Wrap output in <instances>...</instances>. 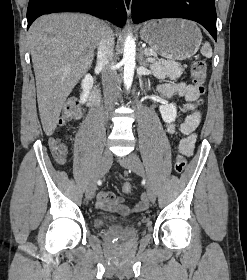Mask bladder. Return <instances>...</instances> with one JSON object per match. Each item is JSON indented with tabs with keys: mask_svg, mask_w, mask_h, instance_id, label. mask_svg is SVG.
<instances>
[{
	"mask_svg": "<svg viewBox=\"0 0 247 280\" xmlns=\"http://www.w3.org/2000/svg\"><path fill=\"white\" fill-rule=\"evenodd\" d=\"M116 222H118V219L116 217H113V216H102V217H98L95 220V225L98 228H104L107 225L113 224V223H116Z\"/></svg>",
	"mask_w": 247,
	"mask_h": 280,
	"instance_id": "1",
	"label": "bladder"
}]
</instances>
